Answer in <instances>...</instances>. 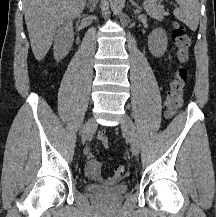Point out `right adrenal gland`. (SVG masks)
Masks as SVG:
<instances>
[{
    "instance_id": "1",
    "label": "right adrenal gland",
    "mask_w": 216,
    "mask_h": 217,
    "mask_svg": "<svg viewBox=\"0 0 216 217\" xmlns=\"http://www.w3.org/2000/svg\"><path fill=\"white\" fill-rule=\"evenodd\" d=\"M96 4H97V0H95L92 5L86 4V6L90 11H92L95 8Z\"/></svg>"
}]
</instances>
